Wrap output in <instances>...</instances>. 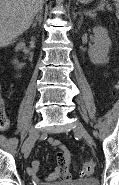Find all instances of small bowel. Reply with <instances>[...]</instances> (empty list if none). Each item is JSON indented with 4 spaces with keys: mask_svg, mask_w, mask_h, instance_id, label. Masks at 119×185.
I'll use <instances>...</instances> for the list:
<instances>
[{
    "mask_svg": "<svg viewBox=\"0 0 119 185\" xmlns=\"http://www.w3.org/2000/svg\"><path fill=\"white\" fill-rule=\"evenodd\" d=\"M49 144L58 151L56 167L52 173L44 178H39L37 173L39 171L40 162L38 159L33 160L31 166L27 168V173L32 176L33 180L40 185H53L57 180L67 181L70 179V153L65 145L57 139L50 137Z\"/></svg>",
    "mask_w": 119,
    "mask_h": 185,
    "instance_id": "obj_1",
    "label": "small bowel"
}]
</instances>
